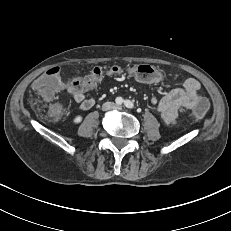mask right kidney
Instances as JSON below:
<instances>
[{
    "mask_svg": "<svg viewBox=\"0 0 231 231\" xmlns=\"http://www.w3.org/2000/svg\"><path fill=\"white\" fill-rule=\"evenodd\" d=\"M82 121V117L80 115L76 116L73 120L74 123H80Z\"/></svg>",
    "mask_w": 231,
    "mask_h": 231,
    "instance_id": "obj_1",
    "label": "right kidney"
}]
</instances>
